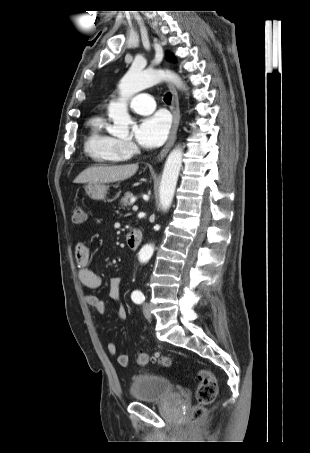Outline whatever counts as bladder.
<instances>
[{
  "mask_svg": "<svg viewBox=\"0 0 310 453\" xmlns=\"http://www.w3.org/2000/svg\"><path fill=\"white\" fill-rule=\"evenodd\" d=\"M131 398L136 402H157L176 394L173 383L166 377L142 373L133 378L129 387Z\"/></svg>",
  "mask_w": 310,
  "mask_h": 453,
  "instance_id": "31cf9c89",
  "label": "bladder"
}]
</instances>
